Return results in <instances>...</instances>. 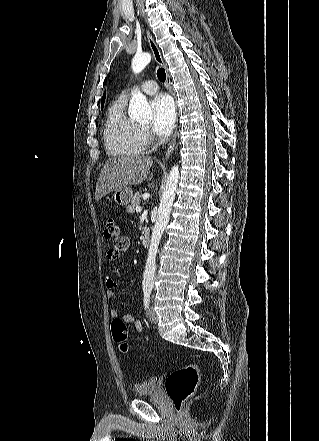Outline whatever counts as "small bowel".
Instances as JSON below:
<instances>
[{"label":"small bowel","mask_w":319,"mask_h":441,"mask_svg":"<svg viewBox=\"0 0 319 441\" xmlns=\"http://www.w3.org/2000/svg\"><path fill=\"white\" fill-rule=\"evenodd\" d=\"M129 247V239L127 237H121L119 238L115 244L114 247L111 248L107 252V259L110 262H115L119 259L120 254L124 251H126ZM105 285H106V295L108 298H113L115 295V287H116V281L111 277L107 276L105 279ZM118 310L116 308H112L110 310V316L111 318L115 319L118 318ZM126 323L132 324L134 327V330L138 333L142 332L143 325L142 323L135 318L132 314H125L122 318Z\"/></svg>","instance_id":"c3829d8e"}]
</instances>
